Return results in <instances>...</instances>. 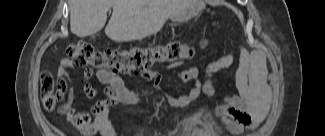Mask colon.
<instances>
[{"label":"colon","instance_id":"colon-1","mask_svg":"<svg viewBox=\"0 0 325 136\" xmlns=\"http://www.w3.org/2000/svg\"><path fill=\"white\" fill-rule=\"evenodd\" d=\"M194 51L190 43L181 42L97 50L91 41H79L67 48V55L76 66H90L113 73L138 74L158 63L189 58ZM40 92L44 107L48 111L56 110L63 96L49 72H43L40 77Z\"/></svg>","mask_w":325,"mask_h":136}]
</instances>
